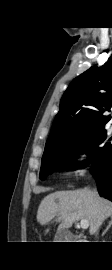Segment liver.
Returning a JSON list of instances; mask_svg holds the SVG:
<instances>
[{
    "label": "liver",
    "instance_id": "obj_1",
    "mask_svg": "<svg viewBox=\"0 0 112 270\" xmlns=\"http://www.w3.org/2000/svg\"><path fill=\"white\" fill-rule=\"evenodd\" d=\"M109 216H112V202L89 189L51 193L42 199L37 210L40 225L49 224L55 217L61 221V229L70 228L79 220H87L90 235H94Z\"/></svg>",
    "mask_w": 112,
    "mask_h": 270
}]
</instances>
